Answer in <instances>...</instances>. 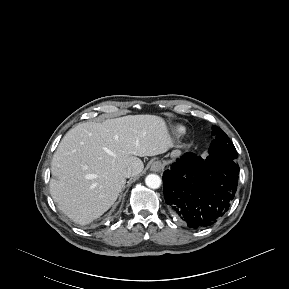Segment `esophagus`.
Returning a JSON list of instances; mask_svg holds the SVG:
<instances>
[{"mask_svg": "<svg viewBox=\"0 0 289 289\" xmlns=\"http://www.w3.org/2000/svg\"><path fill=\"white\" fill-rule=\"evenodd\" d=\"M164 168V165L162 162L160 161H155L152 163L151 165V170L154 171V172H159L161 171L162 169Z\"/></svg>", "mask_w": 289, "mask_h": 289, "instance_id": "esophagus-1", "label": "esophagus"}]
</instances>
